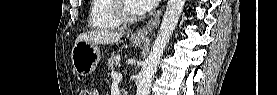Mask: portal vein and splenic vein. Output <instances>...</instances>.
<instances>
[{
  "mask_svg": "<svg viewBox=\"0 0 277 95\" xmlns=\"http://www.w3.org/2000/svg\"><path fill=\"white\" fill-rule=\"evenodd\" d=\"M111 76H112V78H113L114 80H121V79H122V74H121V73H118V72H115V71H113V72L111 73Z\"/></svg>",
  "mask_w": 277,
  "mask_h": 95,
  "instance_id": "portal-vein-and-splenic-vein-1",
  "label": "portal vein and splenic vein"
}]
</instances>
